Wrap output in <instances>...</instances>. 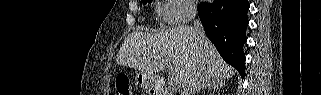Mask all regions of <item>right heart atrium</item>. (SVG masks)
Returning a JSON list of instances; mask_svg holds the SVG:
<instances>
[{"instance_id": "1", "label": "right heart atrium", "mask_w": 321, "mask_h": 95, "mask_svg": "<svg viewBox=\"0 0 321 95\" xmlns=\"http://www.w3.org/2000/svg\"><path fill=\"white\" fill-rule=\"evenodd\" d=\"M157 12L164 23L172 25L189 21L195 7L190 0H166L158 5Z\"/></svg>"}]
</instances>
